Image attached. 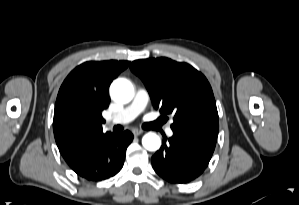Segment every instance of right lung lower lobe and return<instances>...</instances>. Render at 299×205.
I'll return each instance as SVG.
<instances>
[{"label":"right lung lower lobe","mask_w":299,"mask_h":205,"mask_svg":"<svg viewBox=\"0 0 299 205\" xmlns=\"http://www.w3.org/2000/svg\"><path fill=\"white\" fill-rule=\"evenodd\" d=\"M133 135L111 134L83 151L70 166L80 177L89 181H101L117 174L124 164L126 149Z\"/></svg>","instance_id":"right-lung-lower-lobe-1"}]
</instances>
